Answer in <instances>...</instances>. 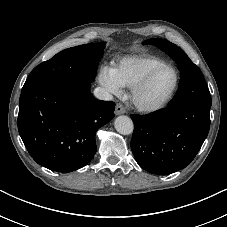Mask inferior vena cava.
Masks as SVG:
<instances>
[{
	"label": "inferior vena cava",
	"instance_id": "1",
	"mask_svg": "<svg viewBox=\"0 0 227 227\" xmlns=\"http://www.w3.org/2000/svg\"><path fill=\"white\" fill-rule=\"evenodd\" d=\"M94 96L99 100L111 101L113 96L104 88L97 87L94 89Z\"/></svg>",
	"mask_w": 227,
	"mask_h": 227
}]
</instances>
